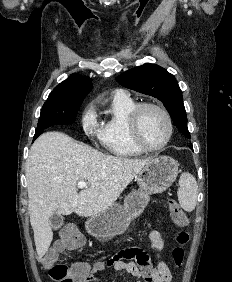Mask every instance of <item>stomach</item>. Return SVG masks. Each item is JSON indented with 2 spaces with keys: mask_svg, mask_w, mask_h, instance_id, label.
<instances>
[{
  "mask_svg": "<svg viewBox=\"0 0 232 282\" xmlns=\"http://www.w3.org/2000/svg\"><path fill=\"white\" fill-rule=\"evenodd\" d=\"M179 173L178 163L169 156H158L136 175L138 190L129 193L124 204L114 203L85 223L87 232L99 239L123 234L130 222L147 206L150 195L166 191Z\"/></svg>",
  "mask_w": 232,
  "mask_h": 282,
  "instance_id": "stomach-1",
  "label": "stomach"
}]
</instances>
